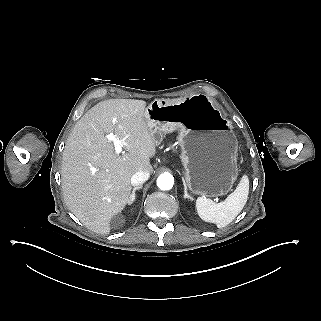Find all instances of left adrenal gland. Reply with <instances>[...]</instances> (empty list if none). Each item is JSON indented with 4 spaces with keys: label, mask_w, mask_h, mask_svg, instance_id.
Returning <instances> with one entry per match:
<instances>
[{
    "label": "left adrenal gland",
    "mask_w": 321,
    "mask_h": 321,
    "mask_svg": "<svg viewBox=\"0 0 321 321\" xmlns=\"http://www.w3.org/2000/svg\"><path fill=\"white\" fill-rule=\"evenodd\" d=\"M184 199H189V196L187 194V188L184 187Z\"/></svg>",
    "instance_id": "1"
}]
</instances>
